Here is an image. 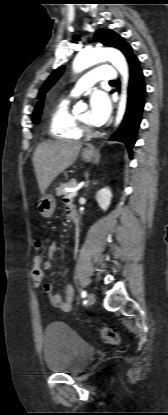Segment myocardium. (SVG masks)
<instances>
[{
    "label": "myocardium",
    "instance_id": "obj_1",
    "mask_svg": "<svg viewBox=\"0 0 168 415\" xmlns=\"http://www.w3.org/2000/svg\"><path fill=\"white\" fill-rule=\"evenodd\" d=\"M77 125L81 131V133L87 136H93L98 133L96 129H94L91 125L86 123L85 121L81 120L78 116L76 117Z\"/></svg>",
    "mask_w": 168,
    "mask_h": 415
}]
</instances>
